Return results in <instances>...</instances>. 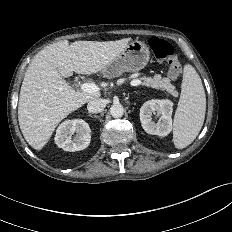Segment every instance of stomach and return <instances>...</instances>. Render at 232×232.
Here are the masks:
<instances>
[{
  "instance_id": "1",
  "label": "stomach",
  "mask_w": 232,
  "mask_h": 232,
  "mask_svg": "<svg viewBox=\"0 0 232 232\" xmlns=\"http://www.w3.org/2000/svg\"><path fill=\"white\" fill-rule=\"evenodd\" d=\"M149 61V49L142 41H131L103 70L106 77L114 78L124 72L143 69Z\"/></svg>"
}]
</instances>
